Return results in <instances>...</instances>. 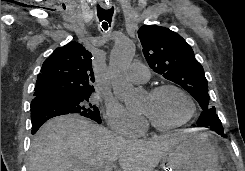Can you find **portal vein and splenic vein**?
<instances>
[{
	"label": "portal vein and splenic vein",
	"instance_id": "1",
	"mask_svg": "<svg viewBox=\"0 0 245 171\" xmlns=\"http://www.w3.org/2000/svg\"><path fill=\"white\" fill-rule=\"evenodd\" d=\"M112 168H113L112 163H109L104 167V171H112Z\"/></svg>",
	"mask_w": 245,
	"mask_h": 171
}]
</instances>
